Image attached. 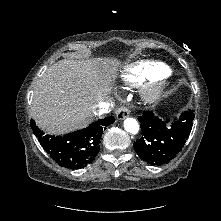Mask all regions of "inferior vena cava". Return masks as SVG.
<instances>
[{"label":"inferior vena cava","mask_w":221,"mask_h":221,"mask_svg":"<svg viewBox=\"0 0 221 221\" xmlns=\"http://www.w3.org/2000/svg\"><path fill=\"white\" fill-rule=\"evenodd\" d=\"M109 107H110V104L108 102H100L97 105V110L95 111V113L99 115L106 114L109 112Z\"/></svg>","instance_id":"obj_1"}]
</instances>
